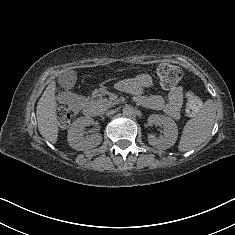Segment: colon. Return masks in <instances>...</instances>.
Masks as SVG:
<instances>
[{"label":"colon","mask_w":235,"mask_h":235,"mask_svg":"<svg viewBox=\"0 0 235 235\" xmlns=\"http://www.w3.org/2000/svg\"><path fill=\"white\" fill-rule=\"evenodd\" d=\"M159 77L161 85L165 89H171L180 80L181 72L176 66L163 65L159 70ZM201 105V100L198 97L192 94L188 95L185 108L186 114L190 117L197 115ZM56 117L59 125L62 127L68 126L71 120V114L69 110L64 107H59L57 109Z\"/></svg>","instance_id":"5ec220e1"}]
</instances>
